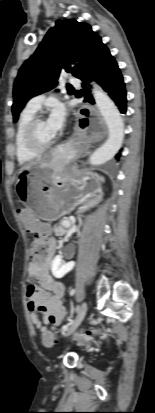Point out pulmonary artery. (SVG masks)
<instances>
[{"mask_svg":"<svg viewBox=\"0 0 155 413\" xmlns=\"http://www.w3.org/2000/svg\"><path fill=\"white\" fill-rule=\"evenodd\" d=\"M67 81L69 83L73 84V85H78L79 84L77 78L74 77V76L68 77ZM44 98H45L44 94L37 95V96L31 98L28 101L26 108H28L30 110H33V111H37L41 107V105L44 101Z\"/></svg>","mask_w":155,"mask_h":413,"instance_id":"e3ab8cb5","label":"pulmonary artery"}]
</instances>
